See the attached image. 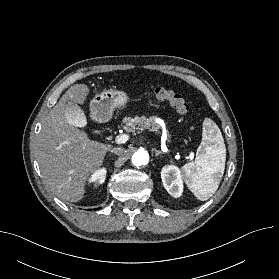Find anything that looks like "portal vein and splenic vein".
<instances>
[{"label":"portal vein and splenic vein","instance_id":"1","mask_svg":"<svg viewBox=\"0 0 279 279\" xmlns=\"http://www.w3.org/2000/svg\"><path fill=\"white\" fill-rule=\"evenodd\" d=\"M128 138H129L128 134H120L116 136L115 142L116 144H123L128 140Z\"/></svg>","mask_w":279,"mask_h":279}]
</instances>
